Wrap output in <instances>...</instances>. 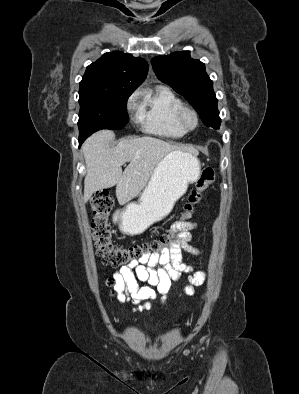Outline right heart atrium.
<instances>
[{"instance_id": "d8ad5b80", "label": "right heart atrium", "mask_w": 299, "mask_h": 394, "mask_svg": "<svg viewBox=\"0 0 299 394\" xmlns=\"http://www.w3.org/2000/svg\"><path fill=\"white\" fill-rule=\"evenodd\" d=\"M137 97H138V93H135V94L131 97L130 102H129V107H130V108H132V109L135 108Z\"/></svg>"}]
</instances>
